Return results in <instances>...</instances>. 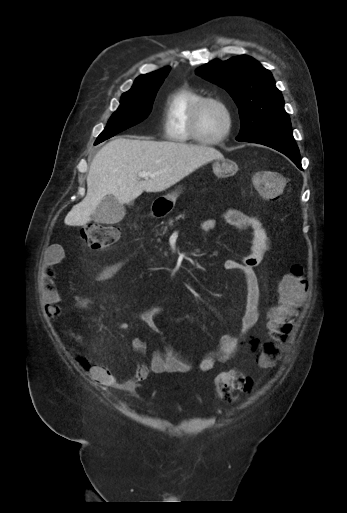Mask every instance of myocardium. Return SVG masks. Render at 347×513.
Instances as JSON below:
<instances>
[{"label":"myocardium","mask_w":347,"mask_h":513,"mask_svg":"<svg viewBox=\"0 0 347 513\" xmlns=\"http://www.w3.org/2000/svg\"><path fill=\"white\" fill-rule=\"evenodd\" d=\"M207 103H215V104H218L219 106H221L226 114V117H227V126H226L225 131L220 136H218L216 138L203 137L199 131V125H198L199 115H200L202 108ZM233 125H234L233 111H232L230 105L226 101L219 99L217 97H213V96H203L196 103V105L194 106V108L191 112L189 129H190L192 136L199 143L205 144V145H217V144L223 142L224 140H226L230 136L232 129H233Z\"/></svg>","instance_id":"1"}]
</instances>
